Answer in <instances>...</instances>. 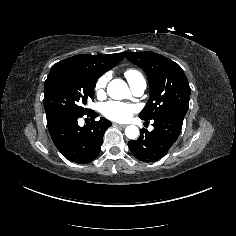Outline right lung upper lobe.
Instances as JSON below:
<instances>
[{
	"instance_id": "1",
	"label": "right lung upper lobe",
	"mask_w": 236,
	"mask_h": 236,
	"mask_svg": "<svg viewBox=\"0 0 236 236\" xmlns=\"http://www.w3.org/2000/svg\"><path fill=\"white\" fill-rule=\"evenodd\" d=\"M124 58V53L110 55H87L81 54L65 59L67 62H87L96 65L102 73L115 67Z\"/></svg>"
}]
</instances>
